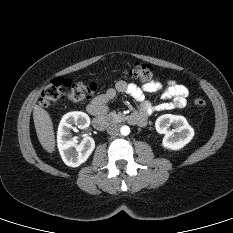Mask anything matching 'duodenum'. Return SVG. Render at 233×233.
Returning <instances> with one entry per match:
<instances>
[{
  "instance_id": "duodenum-1",
  "label": "duodenum",
  "mask_w": 233,
  "mask_h": 233,
  "mask_svg": "<svg viewBox=\"0 0 233 233\" xmlns=\"http://www.w3.org/2000/svg\"><path fill=\"white\" fill-rule=\"evenodd\" d=\"M129 122L137 125L146 124V116L141 113H133L129 116ZM111 123V118L103 114H94L93 125L98 130L106 129Z\"/></svg>"
}]
</instances>
